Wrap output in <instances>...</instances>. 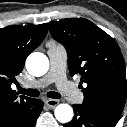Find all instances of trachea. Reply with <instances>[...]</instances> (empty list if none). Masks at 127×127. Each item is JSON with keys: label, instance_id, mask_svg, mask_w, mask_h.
I'll list each match as a JSON object with an SVG mask.
<instances>
[{"label": "trachea", "instance_id": "obj_1", "mask_svg": "<svg viewBox=\"0 0 127 127\" xmlns=\"http://www.w3.org/2000/svg\"><path fill=\"white\" fill-rule=\"evenodd\" d=\"M19 92L21 94L28 95L31 97H38L40 95V92L36 89H24V88L19 87ZM47 96L53 99L61 98V95L58 92H54V91L47 92Z\"/></svg>", "mask_w": 127, "mask_h": 127}]
</instances>
